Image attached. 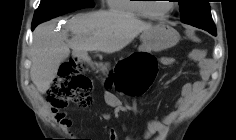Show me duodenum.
<instances>
[{"instance_id": "obj_1", "label": "duodenum", "mask_w": 236, "mask_h": 140, "mask_svg": "<svg viewBox=\"0 0 236 140\" xmlns=\"http://www.w3.org/2000/svg\"><path fill=\"white\" fill-rule=\"evenodd\" d=\"M79 55H80V56H84V55H85V53H79Z\"/></svg>"}]
</instances>
